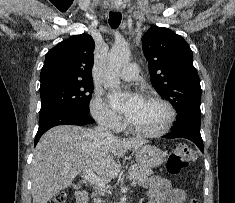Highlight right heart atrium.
Here are the masks:
<instances>
[{"instance_id": "obj_1", "label": "right heart atrium", "mask_w": 235, "mask_h": 203, "mask_svg": "<svg viewBox=\"0 0 235 203\" xmlns=\"http://www.w3.org/2000/svg\"><path fill=\"white\" fill-rule=\"evenodd\" d=\"M90 109L95 120L103 127L114 131L121 127V117L106 104L99 93L92 99Z\"/></svg>"}]
</instances>
